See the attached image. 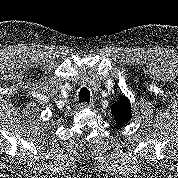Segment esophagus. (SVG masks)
<instances>
[{
	"label": "esophagus",
	"mask_w": 178,
	"mask_h": 178,
	"mask_svg": "<svg viewBox=\"0 0 178 178\" xmlns=\"http://www.w3.org/2000/svg\"><path fill=\"white\" fill-rule=\"evenodd\" d=\"M93 106V104L92 103H86V102H82L81 104H80V108H82V109H85V108H91Z\"/></svg>",
	"instance_id": "34e87169"
}]
</instances>
